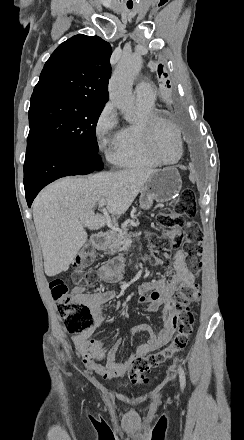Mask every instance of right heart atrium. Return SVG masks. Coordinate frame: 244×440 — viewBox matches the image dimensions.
<instances>
[{"label": "right heart atrium", "mask_w": 244, "mask_h": 440, "mask_svg": "<svg viewBox=\"0 0 244 440\" xmlns=\"http://www.w3.org/2000/svg\"><path fill=\"white\" fill-rule=\"evenodd\" d=\"M117 127L118 117L116 107L109 101L101 110L95 123V135L102 149L109 150L111 146H114L113 139L119 132L117 131ZM126 148H128V145Z\"/></svg>", "instance_id": "1"}]
</instances>
